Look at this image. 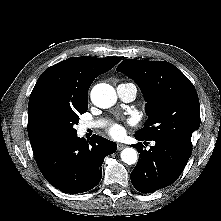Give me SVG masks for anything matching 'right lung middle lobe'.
Here are the masks:
<instances>
[{
	"instance_id": "1",
	"label": "right lung middle lobe",
	"mask_w": 221,
	"mask_h": 221,
	"mask_svg": "<svg viewBox=\"0 0 221 221\" xmlns=\"http://www.w3.org/2000/svg\"><path fill=\"white\" fill-rule=\"evenodd\" d=\"M87 109V102L77 105L48 103L41 112L42 126L53 141L72 137L77 134L73 126Z\"/></svg>"
}]
</instances>
